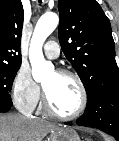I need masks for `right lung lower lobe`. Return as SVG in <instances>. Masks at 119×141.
<instances>
[{
    "mask_svg": "<svg viewBox=\"0 0 119 141\" xmlns=\"http://www.w3.org/2000/svg\"><path fill=\"white\" fill-rule=\"evenodd\" d=\"M11 106H12V104L7 105V104H4V103H0V113L9 111Z\"/></svg>",
    "mask_w": 119,
    "mask_h": 141,
    "instance_id": "obj_1",
    "label": "right lung lower lobe"
}]
</instances>
